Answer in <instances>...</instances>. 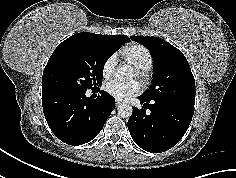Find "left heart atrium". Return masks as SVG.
<instances>
[{
	"instance_id": "39dd6f15",
	"label": "left heart atrium",
	"mask_w": 236,
	"mask_h": 178,
	"mask_svg": "<svg viewBox=\"0 0 236 178\" xmlns=\"http://www.w3.org/2000/svg\"><path fill=\"white\" fill-rule=\"evenodd\" d=\"M140 84L136 80H110L104 85V90L117 100H128L140 92Z\"/></svg>"
}]
</instances>
